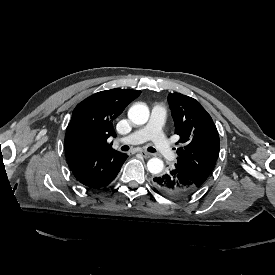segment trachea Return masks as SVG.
<instances>
[{
  "label": "trachea",
  "instance_id": "1",
  "mask_svg": "<svg viewBox=\"0 0 275 275\" xmlns=\"http://www.w3.org/2000/svg\"><path fill=\"white\" fill-rule=\"evenodd\" d=\"M121 150H122V151H128V150H129V146L124 145V146L121 147ZM148 151H149V152H156V149L153 148V147H149V148H148Z\"/></svg>",
  "mask_w": 275,
  "mask_h": 275
}]
</instances>
